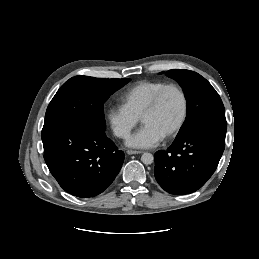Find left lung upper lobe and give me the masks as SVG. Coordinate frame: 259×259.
I'll return each instance as SVG.
<instances>
[{"label":"left lung upper lobe","instance_id":"5c2ea615","mask_svg":"<svg viewBox=\"0 0 259 259\" xmlns=\"http://www.w3.org/2000/svg\"><path fill=\"white\" fill-rule=\"evenodd\" d=\"M166 75L183 88L187 100V116L176 138H181L205 124L227 125L222 100L212 85L190 70L172 69Z\"/></svg>","mask_w":259,"mask_h":259}]
</instances>
